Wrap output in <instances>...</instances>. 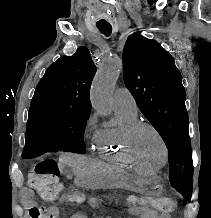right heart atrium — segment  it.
<instances>
[{
	"instance_id": "right-heart-atrium-1",
	"label": "right heart atrium",
	"mask_w": 211,
	"mask_h": 218,
	"mask_svg": "<svg viewBox=\"0 0 211 218\" xmlns=\"http://www.w3.org/2000/svg\"><path fill=\"white\" fill-rule=\"evenodd\" d=\"M86 129L92 134V138L96 141L101 133V129L98 126V118L96 114H92L87 122H86Z\"/></svg>"
}]
</instances>
